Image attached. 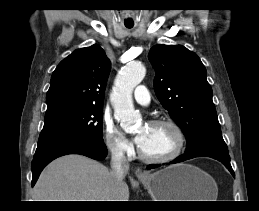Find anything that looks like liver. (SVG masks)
<instances>
[{"mask_svg":"<svg viewBox=\"0 0 259 211\" xmlns=\"http://www.w3.org/2000/svg\"><path fill=\"white\" fill-rule=\"evenodd\" d=\"M34 201H128L129 188L115 185L106 166L70 154L51 162L34 187Z\"/></svg>","mask_w":259,"mask_h":211,"instance_id":"obj_1","label":"liver"}]
</instances>
